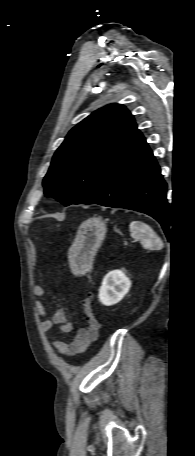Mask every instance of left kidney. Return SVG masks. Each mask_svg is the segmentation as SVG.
Here are the masks:
<instances>
[{"label": "left kidney", "instance_id": "5707ae66", "mask_svg": "<svg viewBox=\"0 0 195 456\" xmlns=\"http://www.w3.org/2000/svg\"><path fill=\"white\" fill-rule=\"evenodd\" d=\"M131 281L121 270L109 272L103 279L99 289V300L105 306L121 301L128 293Z\"/></svg>", "mask_w": 195, "mask_h": 456}]
</instances>
